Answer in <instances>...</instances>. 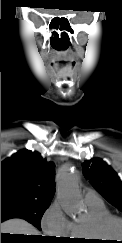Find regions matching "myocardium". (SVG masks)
<instances>
[{
  "mask_svg": "<svg viewBox=\"0 0 122 243\" xmlns=\"http://www.w3.org/2000/svg\"><path fill=\"white\" fill-rule=\"evenodd\" d=\"M115 222L122 225V218L115 215H108L91 222L90 227L92 230V234L98 239H103L107 237L105 235L106 229L110 224Z\"/></svg>",
  "mask_w": 122,
  "mask_h": 243,
  "instance_id": "f54148a6",
  "label": "myocardium"
}]
</instances>
